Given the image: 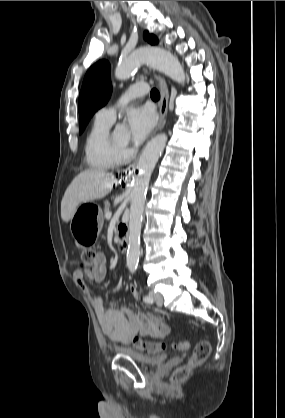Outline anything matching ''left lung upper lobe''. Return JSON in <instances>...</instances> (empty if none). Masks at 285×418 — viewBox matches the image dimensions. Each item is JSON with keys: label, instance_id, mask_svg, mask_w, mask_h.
<instances>
[{"label": "left lung upper lobe", "instance_id": "5c2ea615", "mask_svg": "<svg viewBox=\"0 0 285 418\" xmlns=\"http://www.w3.org/2000/svg\"><path fill=\"white\" fill-rule=\"evenodd\" d=\"M144 38L150 44H157L158 39L145 31ZM110 64L106 60L95 63L86 73L79 95L80 133L88 124L92 115L109 100L112 92Z\"/></svg>", "mask_w": 285, "mask_h": 418}]
</instances>
